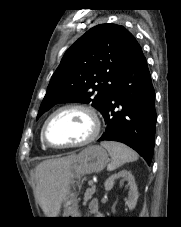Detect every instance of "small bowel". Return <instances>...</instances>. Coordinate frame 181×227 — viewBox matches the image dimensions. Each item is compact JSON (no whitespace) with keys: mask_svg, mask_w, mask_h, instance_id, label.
<instances>
[{"mask_svg":"<svg viewBox=\"0 0 181 227\" xmlns=\"http://www.w3.org/2000/svg\"><path fill=\"white\" fill-rule=\"evenodd\" d=\"M88 210L91 214H97L98 213V203L93 200L88 205Z\"/></svg>","mask_w":181,"mask_h":227,"instance_id":"c3829d8e","label":"small bowel"}]
</instances>
